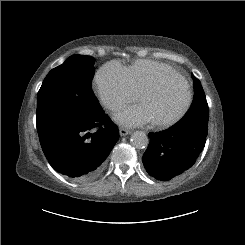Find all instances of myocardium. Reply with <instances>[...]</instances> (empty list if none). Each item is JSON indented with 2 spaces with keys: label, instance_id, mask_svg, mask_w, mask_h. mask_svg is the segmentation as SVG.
Listing matches in <instances>:
<instances>
[{
  "label": "myocardium",
  "instance_id": "myocardium-1",
  "mask_svg": "<svg viewBox=\"0 0 245 245\" xmlns=\"http://www.w3.org/2000/svg\"><path fill=\"white\" fill-rule=\"evenodd\" d=\"M170 75L177 76L183 80V82L185 83V86L187 88L188 99H187V102H186L185 106L183 107V109L178 114L173 116L172 118H169V119L163 120V121H152V124L159 129L169 128V127L175 125L176 123H178L181 119H183V117L188 113L189 109L191 108L193 100H194L193 89H192V86H191L189 79L184 74H182L181 72H179L176 69H170L168 71H165V72L159 74L153 83H151L149 86L144 88L138 94V99L141 100L145 95H148V94H151L153 92L158 91L160 88L161 81L165 77H168Z\"/></svg>",
  "mask_w": 245,
  "mask_h": 245
}]
</instances>
